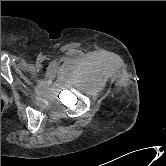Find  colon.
I'll return each instance as SVG.
<instances>
[{
	"label": "colon",
	"mask_w": 166,
	"mask_h": 166,
	"mask_svg": "<svg viewBox=\"0 0 166 166\" xmlns=\"http://www.w3.org/2000/svg\"><path fill=\"white\" fill-rule=\"evenodd\" d=\"M4 107H5V103H4V101L1 99V113H2L3 110H4Z\"/></svg>",
	"instance_id": "1"
}]
</instances>
